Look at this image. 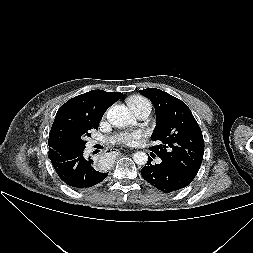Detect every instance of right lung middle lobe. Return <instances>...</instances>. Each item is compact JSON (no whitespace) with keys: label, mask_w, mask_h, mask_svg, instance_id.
<instances>
[{"label":"right lung middle lobe","mask_w":253,"mask_h":253,"mask_svg":"<svg viewBox=\"0 0 253 253\" xmlns=\"http://www.w3.org/2000/svg\"><path fill=\"white\" fill-rule=\"evenodd\" d=\"M87 143V141L81 146V149L85 148V144Z\"/></svg>","instance_id":"right-lung-middle-lobe-1"}]
</instances>
